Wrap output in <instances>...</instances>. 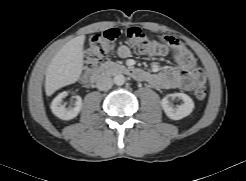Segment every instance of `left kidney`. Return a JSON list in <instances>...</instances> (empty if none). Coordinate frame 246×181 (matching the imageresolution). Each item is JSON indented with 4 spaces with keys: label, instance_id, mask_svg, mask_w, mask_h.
I'll return each instance as SVG.
<instances>
[{
    "label": "left kidney",
    "instance_id": "5707ae66",
    "mask_svg": "<svg viewBox=\"0 0 246 181\" xmlns=\"http://www.w3.org/2000/svg\"><path fill=\"white\" fill-rule=\"evenodd\" d=\"M180 98L183 100V104L177 107H173L169 101V98ZM161 106L165 112V114L172 120H180L188 115L194 109L193 100L184 93H175L165 96L161 101Z\"/></svg>",
    "mask_w": 246,
    "mask_h": 181
}]
</instances>
